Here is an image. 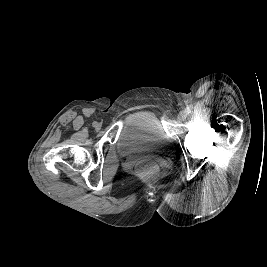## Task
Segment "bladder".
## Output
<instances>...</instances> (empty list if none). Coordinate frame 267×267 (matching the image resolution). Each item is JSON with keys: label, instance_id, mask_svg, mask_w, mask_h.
Listing matches in <instances>:
<instances>
[{"label": "bladder", "instance_id": "bladder-1", "mask_svg": "<svg viewBox=\"0 0 267 267\" xmlns=\"http://www.w3.org/2000/svg\"><path fill=\"white\" fill-rule=\"evenodd\" d=\"M166 146L167 137L157 119L151 113L139 112L122 126L115 151L124 157L137 153H158Z\"/></svg>", "mask_w": 267, "mask_h": 267}]
</instances>
